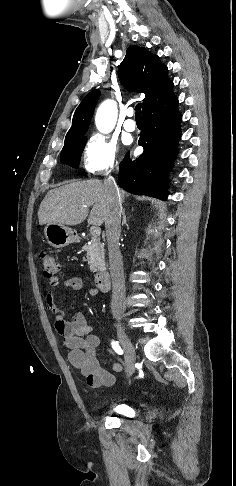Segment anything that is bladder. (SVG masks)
Wrapping results in <instances>:
<instances>
[{"label": "bladder", "mask_w": 236, "mask_h": 486, "mask_svg": "<svg viewBox=\"0 0 236 486\" xmlns=\"http://www.w3.org/2000/svg\"><path fill=\"white\" fill-rule=\"evenodd\" d=\"M111 411L122 416H130L133 412V407L128 404H116L111 408Z\"/></svg>", "instance_id": "31cf9c89"}]
</instances>
